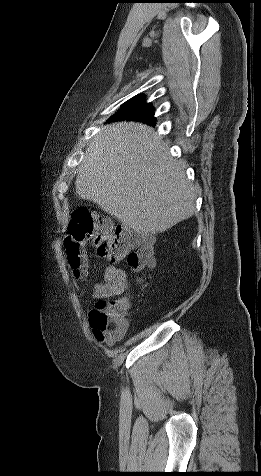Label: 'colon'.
Instances as JSON below:
<instances>
[{
  "label": "colon",
  "instance_id": "obj_1",
  "mask_svg": "<svg viewBox=\"0 0 261 476\" xmlns=\"http://www.w3.org/2000/svg\"><path fill=\"white\" fill-rule=\"evenodd\" d=\"M112 262L126 261L129 269L139 272L154 263L153 244L124 227H114L87 207L77 208L69 223L65 249L69 266L76 278L86 273V249ZM129 307L126 300H98L90 311L95 337L113 343L126 332Z\"/></svg>",
  "mask_w": 261,
  "mask_h": 476
}]
</instances>
